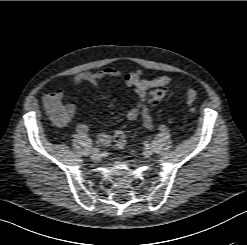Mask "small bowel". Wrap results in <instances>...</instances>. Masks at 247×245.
<instances>
[{
    "label": "small bowel",
    "mask_w": 247,
    "mask_h": 245,
    "mask_svg": "<svg viewBox=\"0 0 247 245\" xmlns=\"http://www.w3.org/2000/svg\"><path fill=\"white\" fill-rule=\"evenodd\" d=\"M143 71L135 69L130 72L120 71L115 68L105 67L97 71H83L76 74L72 79L74 86L88 84L94 89H100L101 81L106 78L121 79L135 93V100L127 111V118L131 121L140 119L143 126L150 130L153 127V121L150 109L147 105V92L152 88H164L174 81L171 76L163 75L153 79H144ZM64 92L57 89L44 97V105L49 111L54 106H61L66 112V118L62 122H56L59 125L68 123L75 115L76 107L74 104H64ZM76 132L86 134L90 127L85 123H78L75 126ZM98 141L102 146H109L112 142L111 136L106 132L98 134Z\"/></svg>",
    "instance_id": "c3829d8e"
}]
</instances>
